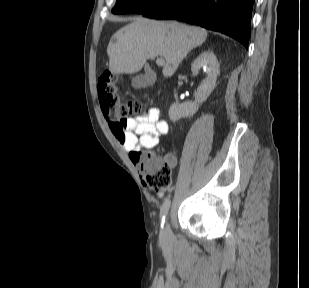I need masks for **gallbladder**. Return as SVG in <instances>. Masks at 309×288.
Listing matches in <instances>:
<instances>
[{
	"instance_id": "gallbladder-1",
	"label": "gallbladder",
	"mask_w": 309,
	"mask_h": 288,
	"mask_svg": "<svg viewBox=\"0 0 309 288\" xmlns=\"http://www.w3.org/2000/svg\"><path fill=\"white\" fill-rule=\"evenodd\" d=\"M155 79V73L149 67H146L145 74H138L132 78V86L135 89L146 88L153 85Z\"/></svg>"
}]
</instances>
